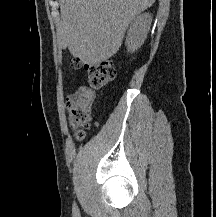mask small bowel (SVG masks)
I'll list each match as a JSON object with an SVG mask.
<instances>
[{"label":"small bowel","mask_w":216,"mask_h":217,"mask_svg":"<svg viewBox=\"0 0 216 217\" xmlns=\"http://www.w3.org/2000/svg\"><path fill=\"white\" fill-rule=\"evenodd\" d=\"M71 99H72V94H68L65 98V102L69 111H70Z\"/></svg>","instance_id":"obj_1"}]
</instances>
